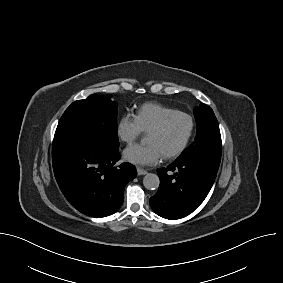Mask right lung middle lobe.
<instances>
[{
    "instance_id": "right-lung-middle-lobe-1",
    "label": "right lung middle lobe",
    "mask_w": 283,
    "mask_h": 283,
    "mask_svg": "<svg viewBox=\"0 0 283 283\" xmlns=\"http://www.w3.org/2000/svg\"><path fill=\"white\" fill-rule=\"evenodd\" d=\"M111 95L88 96L73 102L59 120L54 138L80 135L94 139L105 146L117 147V107Z\"/></svg>"
}]
</instances>
